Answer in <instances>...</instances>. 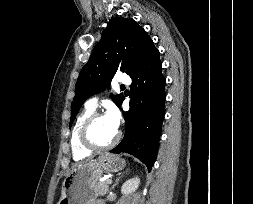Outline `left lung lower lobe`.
<instances>
[{
  "mask_svg": "<svg viewBox=\"0 0 253 204\" xmlns=\"http://www.w3.org/2000/svg\"><path fill=\"white\" fill-rule=\"evenodd\" d=\"M131 78L139 109L123 112L125 135L110 152L132 154L146 164L150 171L157 157L166 100V80L162 75L159 51L155 46L149 50L142 67Z\"/></svg>",
  "mask_w": 253,
  "mask_h": 204,
  "instance_id": "0a47b994",
  "label": "left lung lower lobe"
}]
</instances>
